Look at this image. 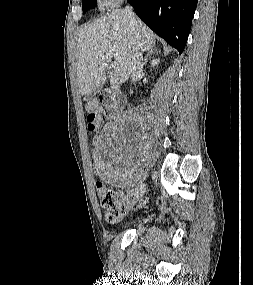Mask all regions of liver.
Here are the masks:
<instances>
[{"instance_id": "obj_1", "label": "liver", "mask_w": 253, "mask_h": 285, "mask_svg": "<svg viewBox=\"0 0 253 285\" xmlns=\"http://www.w3.org/2000/svg\"><path fill=\"white\" fill-rule=\"evenodd\" d=\"M155 34L141 20L130 25L125 10L117 9L86 25L77 42V81L81 95L99 85L111 58L120 57L110 73L111 84L124 83L130 77L134 56L155 44Z\"/></svg>"}]
</instances>
